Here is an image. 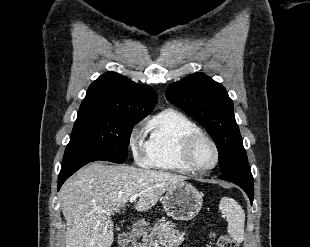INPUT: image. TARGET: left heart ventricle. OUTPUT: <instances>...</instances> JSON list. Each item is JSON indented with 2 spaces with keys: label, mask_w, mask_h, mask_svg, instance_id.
I'll use <instances>...</instances> for the list:
<instances>
[{
  "label": "left heart ventricle",
  "mask_w": 310,
  "mask_h": 247,
  "mask_svg": "<svg viewBox=\"0 0 310 247\" xmlns=\"http://www.w3.org/2000/svg\"><path fill=\"white\" fill-rule=\"evenodd\" d=\"M192 159L199 167L211 165L215 160V152L211 144L205 140L200 141L193 150Z\"/></svg>",
  "instance_id": "left-heart-ventricle-1"
}]
</instances>
